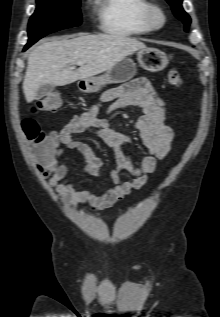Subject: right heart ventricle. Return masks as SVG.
I'll list each match as a JSON object with an SVG mask.
<instances>
[{
  "label": "right heart ventricle",
  "instance_id": "1",
  "mask_svg": "<svg viewBox=\"0 0 220 317\" xmlns=\"http://www.w3.org/2000/svg\"><path fill=\"white\" fill-rule=\"evenodd\" d=\"M149 0H97L96 15L102 31L115 36L150 33L146 12Z\"/></svg>",
  "mask_w": 220,
  "mask_h": 317
}]
</instances>
